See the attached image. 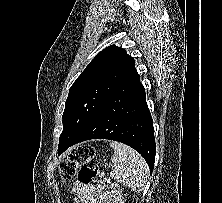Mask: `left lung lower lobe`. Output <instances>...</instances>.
I'll return each instance as SVG.
<instances>
[{
  "mask_svg": "<svg viewBox=\"0 0 222 203\" xmlns=\"http://www.w3.org/2000/svg\"><path fill=\"white\" fill-rule=\"evenodd\" d=\"M90 139H109L129 145L144 157L150 172L153 171L156 153L153 120L137 71L104 101L73 141L58 148V155Z\"/></svg>",
  "mask_w": 222,
  "mask_h": 203,
  "instance_id": "obj_1",
  "label": "left lung lower lobe"
}]
</instances>
